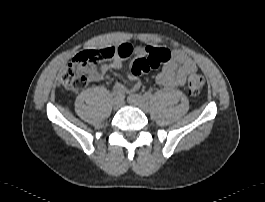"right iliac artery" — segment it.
<instances>
[{
	"label": "right iliac artery",
	"mask_w": 265,
	"mask_h": 202,
	"mask_svg": "<svg viewBox=\"0 0 265 202\" xmlns=\"http://www.w3.org/2000/svg\"><path fill=\"white\" fill-rule=\"evenodd\" d=\"M112 95L114 98H123L124 92L121 90H114Z\"/></svg>",
	"instance_id": "obj_1"
}]
</instances>
